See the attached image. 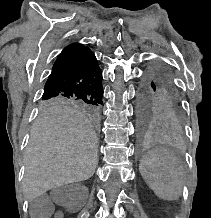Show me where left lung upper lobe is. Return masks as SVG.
I'll return each instance as SVG.
<instances>
[{
  "instance_id": "obj_1",
  "label": "left lung upper lobe",
  "mask_w": 211,
  "mask_h": 218,
  "mask_svg": "<svg viewBox=\"0 0 211 218\" xmlns=\"http://www.w3.org/2000/svg\"><path fill=\"white\" fill-rule=\"evenodd\" d=\"M182 115L179 92L173 79L160 62H153L144 75L141 89V128L177 126Z\"/></svg>"
}]
</instances>
